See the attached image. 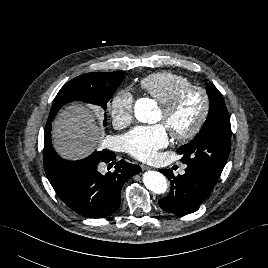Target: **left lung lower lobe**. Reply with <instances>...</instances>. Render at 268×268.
I'll use <instances>...</instances> for the list:
<instances>
[{
  "instance_id": "0a47b994",
  "label": "left lung lower lobe",
  "mask_w": 268,
  "mask_h": 268,
  "mask_svg": "<svg viewBox=\"0 0 268 268\" xmlns=\"http://www.w3.org/2000/svg\"><path fill=\"white\" fill-rule=\"evenodd\" d=\"M171 183L170 193L159 200L160 207L170 213L190 214L207 199L218 177L202 167L187 165L184 175L174 176L172 170H160Z\"/></svg>"
}]
</instances>
